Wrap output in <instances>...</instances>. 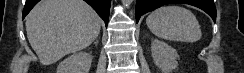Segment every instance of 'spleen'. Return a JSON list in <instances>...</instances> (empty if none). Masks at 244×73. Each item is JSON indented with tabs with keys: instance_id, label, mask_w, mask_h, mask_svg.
<instances>
[{
	"instance_id": "spleen-1",
	"label": "spleen",
	"mask_w": 244,
	"mask_h": 73,
	"mask_svg": "<svg viewBox=\"0 0 244 73\" xmlns=\"http://www.w3.org/2000/svg\"><path fill=\"white\" fill-rule=\"evenodd\" d=\"M146 24L154 35L168 41L194 43L202 36L195 15L178 5L156 9L147 17Z\"/></svg>"
}]
</instances>
